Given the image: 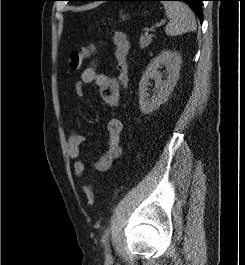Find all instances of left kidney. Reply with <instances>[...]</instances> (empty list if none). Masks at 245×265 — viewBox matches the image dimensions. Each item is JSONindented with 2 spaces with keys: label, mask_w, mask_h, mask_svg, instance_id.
I'll return each mask as SVG.
<instances>
[{
  "label": "left kidney",
  "mask_w": 245,
  "mask_h": 265,
  "mask_svg": "<svg viewBox=\"0 0 245 265\" xmlns=\"http://www.w3.org/2000/svg\"><path fill=\"white\" fill-rule=\"evenodd\" d=\"M181 62V55L170 50L162 51L150 61L139 82V105L143 114L153 112L167 101L178 81ZM163 66L167 71L165 80H162V73L158 71ZM149 79L155 80L156 88L151 99L147 93Z\"/></svg>",
  "instance_id": "left-kidney-1"
}]
</instances>
